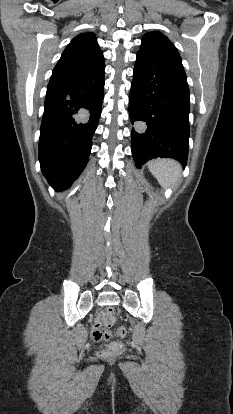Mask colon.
Masks as SVG:
<instances>
[{"mask_svg":"<svg viewBox=\"0 0 233 414\" xmlns=\"http://www.w3.org/2000/svg\"><path fill=\"white\" fill-rule=\"evenodd\" d=\"M115 322V310L113 308H107L100 311L92 324L91 337L94 341H107L113 337L124 338L126 336V328L124 326H119L115 329L114 332H111L107 329H103L102 326L111 327ZM100 355L104 358L111 356V353L102 350Z\"/></svg>","mask_w":233,"mask_h":414,"instance_id":"obj_1","label":"colon"}]
</instances>
